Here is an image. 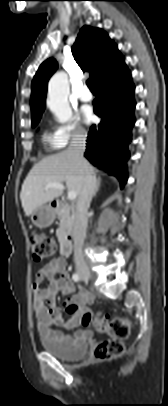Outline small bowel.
Returning a JSON list of instances; mask_svg holds the SVG:
<instances>
[{
	"instance_id": "c3829d8e",
	"label": "small bowel",
	"mask_w": 168,
	"mask_h": 406,
	"mask_svg": "<svg viewBox=\"0 0 168 406\" xmlns=\"http://www.w3.org/2000/svg\"><path fill=\"white\" fill-rule=\"evenodd\" d=\"M44 281L47 283L42 287ZM58 290L65 295H72L76 291V286L67 272L66 261L62 257L51 260L38 270L33 283V308L40 335L54 343L70 346L82 338L85 332L76 331L72 338L55 330L54 327L63 326L66 329H74L79 326L82 322V314L89 312L86 306L93 303L94 297L90 292L79 289L76 294L64 301L63 307L74 310L70 319L64 322L61 311L56 305Z\"/></svg>"
}]
</instances>
